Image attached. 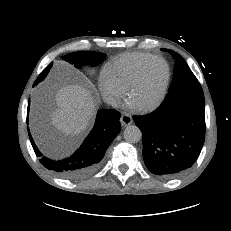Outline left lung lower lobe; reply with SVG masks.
Listing matches in <instances>:
<instances>
[{
    "label": "left lung lower lobe",
    "instance_id": "left-lung-lower-lobe-1",
    "mask_svg": "<svg viewBox=\"0 0 231 231\" xmlns=\"http://www.w3.org/2000/svg\"><path fill=\"white\" fill-rule=\"evenodd\" d=\"M202 89L167 98L158 109L134 116L143 137V159L153 174L173 178L197 160L205 140Z\"/></svg>",
    "mask_w": 231,
    "mask_h": 231
}]
</instances>
